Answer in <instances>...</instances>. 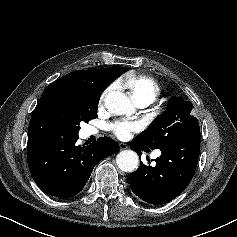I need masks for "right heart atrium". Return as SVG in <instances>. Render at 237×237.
Instances as JSON below:
<instances>
[{"instance_id":"right-heart-atrium-1","label":"right heart atrium","mask_w":237,"mask_h":237,"mask_svg":"<svg viewBox=\"0 0 237 237\" xmlns=\"http://www.w3.org/2000/svg\"><path fill=\"white\" fill-rule=\"evenodd\" d=\"M113 89H114V86H110V87L106 88V89L103 91V93H102V95H101V97H100V102H103V101L105 100V98L107 97V95H108Z\"/></svg>"}]
</instances>
